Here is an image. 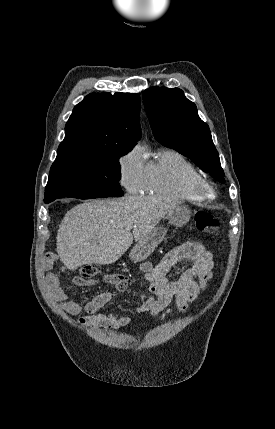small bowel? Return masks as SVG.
<instances>
[{
    "label": "small bowel",
    "mask_w": 275,
    "mask_h": 429,
    "mask_svg": "<svg viewBox=\"0 0 275 429\" xmlns=\"http://www.w3.org/2000/svg\"><path fill=\"white\" fill-rule=\"evenodd\" d=\"M181 261L188 262V265L170 279L168 274L176 270L177 264ZM139 269L149 282V291L152 295L143 296L134 312L149 313L163 319L171 311L168 307L173 299L177 310L185 312L198 298L200 292L207 288L213 276V259L204 243L192 240L170 250L155 266L145 262L139 265ZM102 280L114 285L118 291H125L128 287V277L125 274H108ZM93 282L81 276L73 278V283L79 287ZM49 291L58 306L67 314L78 315L84 312L85 315L78 321L85 327L119 329L131 322L128 316L118 317L111 312H99L111 299V293L108 291L96 295L86 303L70 301L57 277L51 278Z\"/></svg>",
    "instance_id": "obj_1"
}]
</instances>
